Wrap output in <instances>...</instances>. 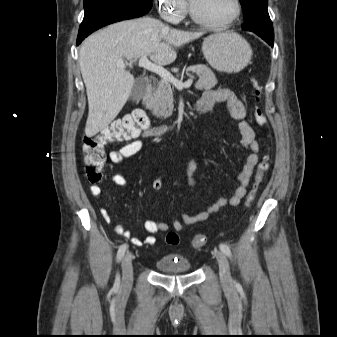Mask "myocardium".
<instances>
[{"label": "myocardium", "mask_w": 337, "mask_h": 337, "mask_svg": "<svg viewBox=\"0 0 337 337\" xmlns=\"http://www.w3.org/2000/svg\"><path fill=\"white\" fill-rule=\"evenodd\" d=\"M233 2V12L230 15L229 18H227L224 21H220V22H215V21H209L206 20L202 17H200L194 10L191 1H189L188 3V11H189V15L191 17V19L206 28H211V29H225L230 27L241 15L242 12V2L241 0H232Z\"/></svg>", "instance_id": "myocardium-1"}]
</instances>
